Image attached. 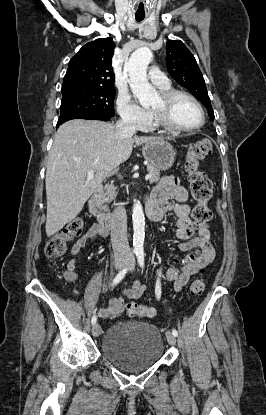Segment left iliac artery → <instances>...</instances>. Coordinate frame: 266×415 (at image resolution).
<instances>
[{
    "instance_id": "left-iliac-artery-1",
    "label": "left iliac artery",
    "mask_w": 266,
    "mask_h": 415,
    "mask_svg": "<svg viewBox=\"0 0 266 415\" xmlns=\"http://www.w3.org/2000/svg\"><path fill=\"white\" fill-rule=\"evenodd\" d=\"M137 260H138L140 267L143 269L144 268V252L142 250L137 252ZM160 292H161V283H160V279L158 278L156 282V294L159 295ZM172 333L175 337L178 336V332L176 329H172Z\"/></svg>"
}]
</instances>
